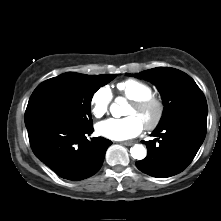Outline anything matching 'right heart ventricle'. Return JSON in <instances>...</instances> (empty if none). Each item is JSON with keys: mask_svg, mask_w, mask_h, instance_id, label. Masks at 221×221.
Returning a JSON list of instances; mask_svg holds the SVG:
<instances>
[{"mask_svg": "<svg viewBox=\"0 0 221 221\" xmlns=\"http://www.w3.org/2000/svg\"><path fill=\"white\" fill-rule=\"evenodd\" d=\"M118 92L124 98L133 101L153 95L152 87L140 80L127 79L117 84Z\"/></svg>", "mask_w": 221, "mask_h": 221, "instance_id": "1", "label": "right heart ventricle"}]
</instances>
